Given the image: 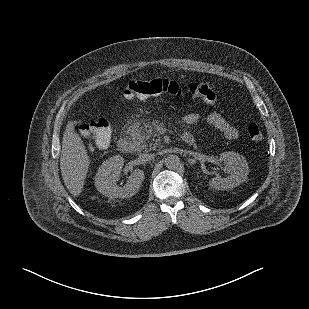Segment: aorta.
<instances>
[{
	"label": "aorta",
	"mask_w": 309,
	"mask_h": 309,
	"mask_svg": "<svg viewBox=\"0 0 309 309\" xmlns=\"http://www.w3.org/2000/svg\"><path fill=\"white\" fill-rule=\"evenodd\" d=\"M165 166L170 170L177 169L180 164V158L177 155H168L164 160Z\"/></svg>",
	"instance_id": "obj_1"
}]
</instances>
